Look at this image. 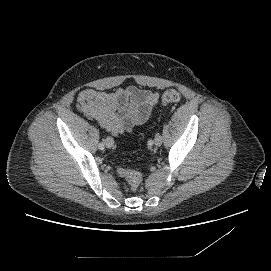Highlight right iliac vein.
<instances>
[{
    "mask_svg": "<svg viewBox=\"0 0 271 271\" xmlns=\"http://www.w3.org/2000/svg\"><path fill=\"white\" fill-rule=\"evenodd\" d=\"M113 143H114V141L111 137H107L105 139V145L107 148H111L113 146Z\"/></svg>",
    "mask_w": 271,
    "mask_h": 271,
    "instance_id": "63e3f726",
    "label": "right iliac vein"
}]
</instances>
